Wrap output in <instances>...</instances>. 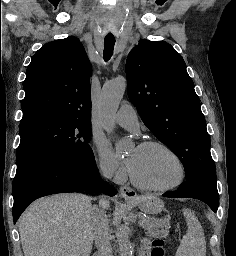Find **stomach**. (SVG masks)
I'll return each mask as SVG.
<instances>
[{
    "label": "stomach",
    "instance_id": "stomach-1",
    "mask_svg": "<svg viewBox=\"0 0 236 256\" xmlns=\"http://www.w3.org/2000/svg\"><path fill=\"white\" fill-rule=\"evenodd\" d=\"M139 208L147 214H157L163 209V202L155 197H142L137 201Z\"/></svg>",
    "mask_w": 236,
    "mask_h": 256
}]
</instances>
